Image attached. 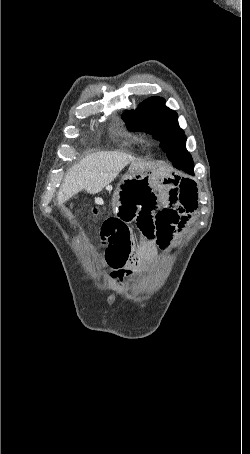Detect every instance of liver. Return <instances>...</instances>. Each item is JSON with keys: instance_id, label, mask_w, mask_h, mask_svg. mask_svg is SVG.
<instances>
[{"instance_id": "liver-1", "label": "liver", "mask_w": 250, "mask_h": 454, "mask_svg": "<svg viewBox=\"0 0 250 454\" xmlns=\"http://www.w3.org/2000/svg\"><path fill=\"white\" fill-rule=\"evenodd\" d=\"M138 160L119 151L92 153L75 164L66 174L57 195L58 204H63L82 190L96 194L108 186L129 163Z\"/></svg>"}]
</instances>
